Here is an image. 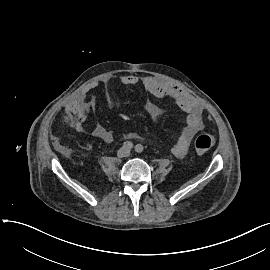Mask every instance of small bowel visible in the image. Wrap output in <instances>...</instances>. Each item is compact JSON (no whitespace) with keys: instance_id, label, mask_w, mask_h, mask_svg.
<instances>
[{"instance_id":"c3829d8e","label":"small bowel","mask_w":270,"mask_h":270,"mask_svg":"<svg viewBox=\"0 0 270 270\" xmlns=\"http://www.w3.org/2000/svg\"><path fill=\"white\" fill-rule=\"evenodd\" d=\"M140 81L149 94L159 99L173 100L174 103L186 113V124L177 142L172 147V153L178 158H183L187 154L194 135L204 127L200 105L187 91L168 81L160 80L152 76L144 77L141 80L132 75H126L120 78V83L125 86L136 85ZM94 87L95 85H92L82 91L78 98L67 106V123L78 132L85 130L84 122L90 104L87 101V93ZM107 100L109 104H112V99L109 94H107ZM146 111L152 117H158L162 114V109L153 103L146 105ZM93 135L106 143H111L114 140L112 131L105 128L102 124H97L94 127ZM124 137L136 138L134 134H125Z\"/></svg>"}]
</instances>
